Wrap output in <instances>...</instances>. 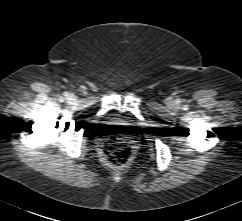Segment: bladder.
I'll list each match as a JSON object with an SVG mask.
<instances>
[{
    "label": "bladder",
    "mask_w": 242,
    "mask_h": 221,
    "mask_svg": "<svg viewBox=\"0 0 242 221\" xmlns=\"http://www.w3.org/2000/svg\"><path fill=\"white\" fill-rule=\"evenodd\" d=\"M115 121H116V122H119V117H116V118H115Z\"/></svg>",
    "instance_id": "bladder-1"
}]
</instances>
